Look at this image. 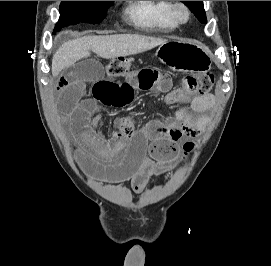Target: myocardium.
Returning <instances> with one entry per match:
<instances>
[{
	"instance_id": "1",
	"label": "myocardium",
	"mask_w": 271,
	"mask_h": 266,
	"mask_svg": "<svg viewBox=\"0 0 271 266\" xmlns=\"http://www.w3.org/2000/svg\"><path fill=\"white\" fill-rule=\"evenodd\" d=\"M171 16L177 24H185L191 18L190 7L183 1H175L171 4Z\"/></svg>"
}]
</instances>
